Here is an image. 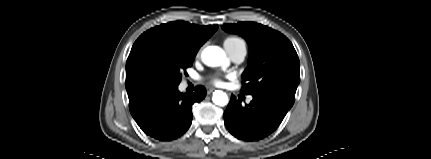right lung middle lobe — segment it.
<instances>
[{
	"instance_id": "1",
	"label": "right lung middle lobe",
	"mask_w": 431,
	"mask_h": 159,
	"mask_svg": "<svg viewBox=\"0 0 431 159\" xmlns=\"http://www.w3.org/2000/svg\"><path fill=\"white\" fill-rule=\"evenodd\" d=\"M195 55L168 46L147 44L137 51L135 65L152 88L174 87L179 85L182 72L192 66Z\"/></svg>"
}]
</instances>
